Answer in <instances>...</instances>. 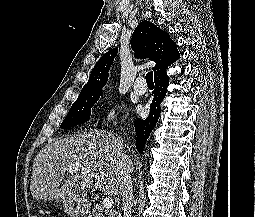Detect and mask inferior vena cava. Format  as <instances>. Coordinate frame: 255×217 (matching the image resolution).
Here are the masks:
<instances>
[{"instance_id":"obj_1","label":"inferior vena cava","mask_w":255,"mask_h":217,"mask_svg":"<svg viewBox=\"0 0 255 217\" xmlns=\"http://www.w3.org/2000/svg\"><path fill=\"white\" fill-rule=\"evenodd\" d=\"M120 172L122 175V209L124 217H131L133 206V186L131 179V169L129 167V157L123 151V139L116 138Z\"/></svg>"}]
</instances>
